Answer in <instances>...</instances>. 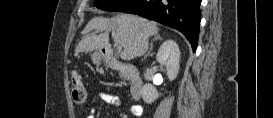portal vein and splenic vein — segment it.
Returning a JSON list of instances; mask_svg holds the SVG:
<instances>
[{
    "instance_id": "obj_1",
    "label": "portal vein and splenic vein",
    "mask_w": 273,
    "mask_h": 118,
    "mask_svg": "<svg viewBox=\"0 0 273 118\" xmlns=\"http://www.w3.org/2000/svg\"><path fill=\"white\" fill-rule=\"evenodd\" d=\"M116 43V42H115ZM116 45H117V49L119 50V51H121L122 50V46L120 45V44H118V43H116Z\"/></svg>"
}]
</instances>
